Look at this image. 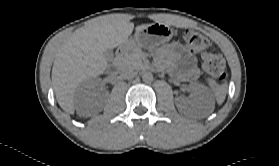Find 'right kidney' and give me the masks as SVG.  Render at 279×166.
Wrapping results in <instances>:
<instances>
[{
	"instance_id": "1",
	"label": "right kidney",
	"mask_w": 279,
	"mask_h": 166,
	"mask_svg": "<svg viewBox=\"0 0 279 166\" xmlns=\"http://www.w3.org/2000/svg\"><path fill=\"white\" fill-rule=\"evenodd\" d=\"M100 83L99 80L88 81L84 84V87L87 89L85 93L79 92L77 95V102L79 104V110L84 111L89 105L98 101L97 95L93 93V90Z\"/></svg>"
}]
</instances>
